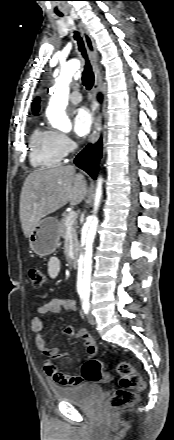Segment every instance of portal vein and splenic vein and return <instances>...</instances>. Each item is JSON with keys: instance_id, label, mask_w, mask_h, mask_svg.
Masks as SVG:
<instances>
[{"instance_id": "obj_1", "label": "portal vein and splenic vein", "mask_w": 174, "mask_h": 440, "mask_svg": "<svg viewBox=\"0 0 174 440\" xmlns=\"http://www.w3.org/2000/svg\"><path fill=\"white\" fill-rule=\"evenodd\" d=\"M76 218H77V213L75 211L69 212L65 222L66 225L67 226L72 225L76 221Z\"/></svg>"}]
</instances>
